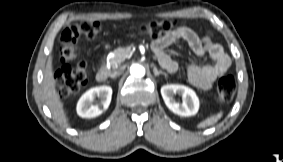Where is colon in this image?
<instances>
[{"label":"colon","mask_w":283,"mask_h":162,"mask_svg":"<svg viewBox=\"0 0 283 162\" xmlns=\"http://www.w3.org/2000/svg\"><path fill=\"white\" fill-rule=\"evenodd\" d=\"M176 23L171 20H156L144 23L141 26L143 33L150 37L161 38L177 29ZM101 25L97 21H85L73 24L62 30L60 34V60L62 66L57 70L55 79L58 94L65 98L79 92L87 83L88 69L84 60H77L79 50L77 42L81 38L94 40L98 37ZM236 91V82L233 76L227 75L218 81L216 98L225 103L233 99Z\"/></svg>","instance_id":"5ec220e1"}]
</instances>
